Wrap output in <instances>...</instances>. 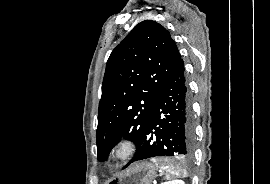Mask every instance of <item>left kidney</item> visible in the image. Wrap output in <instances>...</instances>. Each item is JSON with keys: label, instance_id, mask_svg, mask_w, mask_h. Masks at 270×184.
<instances>
[{"label": "left kidney", "instance_id": "left-kidney-1", "mask_svg": "<svg viewBox=\"0 0 270 184\" xmlns=\"http://www.w3.org/2000/svg\"><path fill=\"white\" fill-rule=\"evenodd\" d=\"M166 184H185V183L182 180H173V181L167 182Z\"/></svg>", "mask_w": 270, "mask_h": 184}]
</instances>
